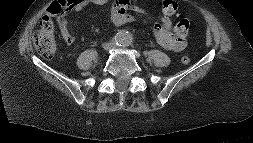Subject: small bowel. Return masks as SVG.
<instances>
[{"instance_id":"obj_1","label":"small bowel","mask_w":253,"mask_h":143,"mask_svg":"<svg viewBox=\"0 0 253 143\" xmlns=\"http://www.w3.org/2000/svg\"><path fill=\"white\" fill-rule=\"evenodd\" d=\"M111 1L110 20L115 26H122L134 21L136 17L131 11L139 14L146 13V10L136 0H80L73 8H65L55 16L58 29L64 41L68 45L74 42L72 26L75 23V19L73 17L69 20L67 19L70 13L79 12L88 5H105ZM174 4L176 3L173 0L162 1V17L155 24L153 34L159 45L168 51L177 53L186 47L187 41L184 36L177 34L176 28L175 33L172 32L170 16L175 14L177 10L172 8Z\"/></svg>"}]
</instances>
